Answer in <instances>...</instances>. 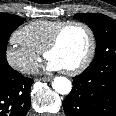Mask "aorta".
Returning a JSON list of instances; mask_svg holds the SVG:
<instances>
[{
	"label": "aorta",
	"mask_w": 116,
	"mask_h": 116,
	"mask_svg": "<svg viewBox=\"0 0 116 116\" xmlns=\"http://www.w3.org/2000/svg\"><path fill=\"white\" fill-rule=\"evenodd\" d=\"M52 87L57 93L66 95L71 91L72 84L66 77L58 76L54 78Z\"/></svg>",
	"instance_id": "aorta-1"
}]
</instances>
